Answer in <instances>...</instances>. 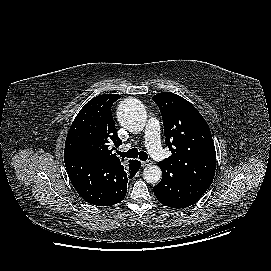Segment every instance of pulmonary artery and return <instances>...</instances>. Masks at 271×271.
Returning a JSON list of instances; mask_svg holds the SVG:
<instances>
[{
	"mask_svg": "<svg viewBox=\"0 0 271 271\" xmlns=\"http://www.w3.org/2000/svg\"><path fill=\"white\" fill-rule=\"evenodd\" d=\"M145 142L150 154L155 160L163 161L166 158V152L160 143L159 123L155 118H150L146 124Z\"/></svg>",
	"mask_w": 271,
	"mask_h": 271,
	"instance_id": "1",
	"label": "pulmonary artery"
}]
</instances>
